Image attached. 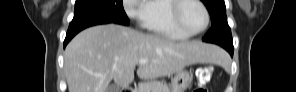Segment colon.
Wrapping results in <instances>:
<instances>
[{"mask_svg": "<svg viewBox=\"0 0 296 92\" xmlns=\"http://www.w3.org/2000/svg\"><path fill=\"white\" fill-rule=\"evenodd\" d=\"M212 70L209 67L201 68L196 73V78L199 84L194 88L193 92H207L208 89L205 87L204 83L208 81L211 77Z\"/></svg>", "mask_w": 296, "mask_h": 92, "instance_id": "obj_1", "label": "colon"}]
</instances>
